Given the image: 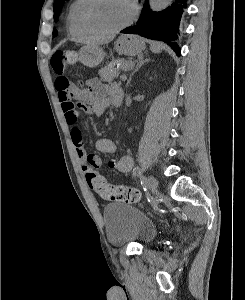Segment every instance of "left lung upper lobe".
Here are the masks:
<instances>
[{
    "mask_svg": "<svg viewBox=\"0 0 245 300\" xmlns=\"http://www.w3.org/2000/svg\"><path fill=\"white\" fill-rule=\"evenodd\" d=\"M65 1H67V0H55V3H54V20L55 21L59 17L60 11H61ZM56 34H57V31L55 30L53 32V35L56 36Z\"/></svg>",
    "mask_w": 245,
    "mask_h": 300,
    "instance_id": "obj_1",
    "label": "left lung upper lobe"
}]
</instances>
